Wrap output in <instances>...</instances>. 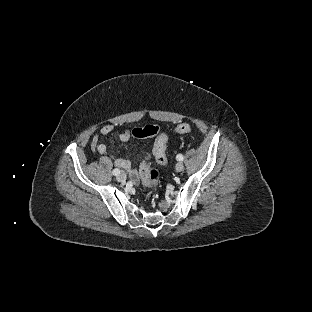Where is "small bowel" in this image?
<instances>
[{
    "label": "small bowel",
    "instance_id": "1",
    "mask_svg": "<svg viewBox=\"0 0 312 312\" xmlns=\"http://www.w3.org/2000/svg\"><path fill=\"white\" fill-rule=\"evenodd\" d=\"M142 128H136V129H125L123 131H121L120 133H118V139L121 142H127L129 141L132 137H138L140 138V130ZM114 130V125L111 123L105 124L102 126V128L99 130L98 133H96L91 140V149L102 155V156H108V151H107V147L105 144L100 142V138L103 136H107L109 134H111ZM165 132V131H163ZM167 145L165 146V150H166ZM109 159L117 166L120 168H123L128 174L129 177L131 179V181L134 184H138L139 183V174L137 172V170L135 168H133L131 161L121 158V157H117L114 155H109L108 156ZM152 157L156 158L155 155V146L153 144V149L152 151L148 152L146 154V159L150 160Z\"/></svg>",
    "mask_w": 312,
    "mask_h": 312
}]
</instances>
